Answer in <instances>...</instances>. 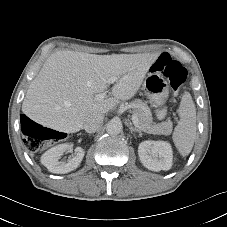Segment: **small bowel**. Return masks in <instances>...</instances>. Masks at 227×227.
I'll return each mask as SVG.
<instances>
[{
    "label": "small bowel",
    "instance_id": "c3829d8e",
    "mask_svg": "<svg viewBox=\"0 0 227 227\" xmlns=\"http://www.w3.org/2000/svg\"><path fill=\"white\" fill-rule=\"evenodd\" d=\"M164 112L163 111H160L159 112V116H163Z\"/></svg>",
    "mask_w": 227,
    "mask_h": 227
}]
</instances>
